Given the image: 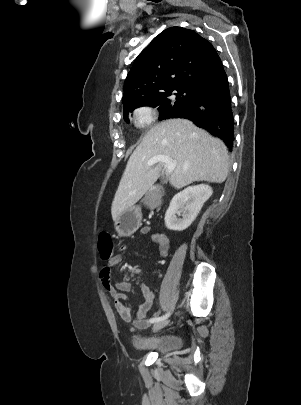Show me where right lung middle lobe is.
I'll return each mask as SVG.
<instances>
[{
    "label": "right lung middle lobe",
    "mask_w": 301,
    "mask_h": 405,
    "mask_svg": "<svg viewBox=\"0 0 301 405\" xmlns=\"http://www.w3.org/2000/svg\"><path fill=\"white\" fill-rule=\"evenodd\" d=\"M174 92L176 98L170 99L169 96ZM199 92L188 89H172L166 92L158 93L150 97L145 98L138 107L140 106H152L159 107L160 119L166 118L175 110L189 104ZM135 109V108H134ZM134 109L123 111V116L125 121L128 123L127 118L128 113L132 112Z\"/></svg>",
    "instance_id": "right-lung-middle-lobe-1"
}]
</instances>
